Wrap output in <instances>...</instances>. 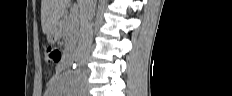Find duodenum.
I'll list each match as a JSON object with an SVG mask.
<instances>
[{"mask_svg":"<svg viewBox=\"0 0 232 96\" xmlns=\"http://www.w3.org/2000/svg\"><path fill=\"white\" fill-rule=\"evenodd\" d=\"M73 63H74V58L70 54H67L65 65H67V64H73Z\"/></svg>","mask_w":232,"mask_h":96,"instance_id":"410a0bca","label":"duodenum"}]
</instances>
